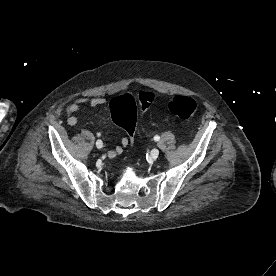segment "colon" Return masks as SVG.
Returning a JSON list of instances; mask_svg holds the SVG:
<instances>
[{
    "label": "colon",
    "mask_w": 276,
    "mask_h": 276,
    "mask_svg": "<svg viewBox=\"0 0 276 276\" xmlns=\"http://www.w3.org/2000/svg\"><path fill=\"white\" fill-rule=\"evenodd\" d=\"M154 101L151 92H140L136 100L131 94H123L110 101V115L112 120L127 133L129 141L133 143L138 110L145 111ZM170 112L176 117L188 120L195 114L197 104L188 96H174L168 104Z\"/></svg>",
    "instance_id": "obj_1"
}]
</instances>
